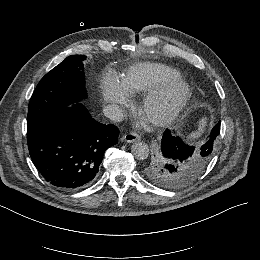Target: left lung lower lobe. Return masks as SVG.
Here are the masks:
<instances>
[{"label":"left lung lower lobe","mask_w":260,"mask_h":260,"mask_svg":"<svg viewBox=\"0 0 260 260\" xmlns=\"http://www.w3.org/2000/svg\"><path fill=\"white\" fill-rule=\"evenodd\" d=\"M220 133V122L212 129L208 140L201 146L202 153H212L215 140ZM163 156L169 160L187 157L195 151V147L188 146L179 137H175L170 130H165L161 140Z\"/></svg>","instance_id":"obj_1"}]
</instances>
